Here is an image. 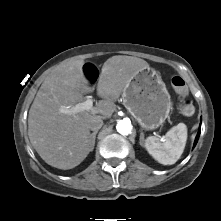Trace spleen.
I'll return each instance as SVG.
<instances>
[{
	"mask_svg": "<svg viewBox=\"0 0 221 221\" xmlns=\"http://www.w3.org/2000/svg\"><path fill=\"white\" fill-rule=\"evenodd\" d=\"M186 141L187 127L184 123H179L166 133L163 140L155 136L147 137L144 146L156 161L172 165L181 157Z\"/></svg>",
	"mask_w": 221,
	"mask_h": 221,
	"instance_id": "3e777b00",
	"label": "spleen"
}]
</instances>
